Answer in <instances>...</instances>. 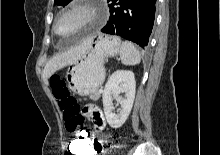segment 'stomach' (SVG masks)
I'll use <instances>...</instances> for the list:
<instances>
[{
	"label": "stomach",
	"instance_id": "0dacf381",
	"mask_svg": "<svg viewBox=\"0 0 220 155\" xmlns=\"http://www.w3.org/2000/svg\"><path fill=\"white\" fill-rule=\"evenodd\" d=\"M120 49L121 40L116 36H100L92 41L84 55L68 67L70 90L79 96L91 97L97 93L105 79V59L116 56Z\"/></svg>",
	"mask_w": 220,
	"mask_h": 155
}]
</instances>
